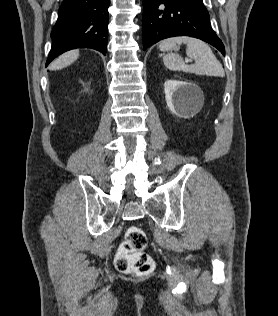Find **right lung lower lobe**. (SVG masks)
<instances>
[{
	"mask_svg": "<svg viewBox=\"0 0 278 316\" xmlns=\"http://www.w3.org/2000/svg\"><path fill=\"white\" fill-rule=\"evenodd\" d=\"M110 0H63L51 32L53 40L46 66L75 48H93L104 55L108 39Z\"/></svg>",
	"mask_w": 278,
	"mask_h": 316,
	"instance_id": "98d812e1",
	"label": "right lung lower lobe"
}]
</instances>
